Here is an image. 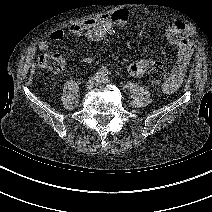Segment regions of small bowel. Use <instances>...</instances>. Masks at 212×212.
Returning a JSON list of instances; mask_svg holds the SVG:
<instances>
[{"label":"small bowel","instance_id":"small-bowel-1","mask_svg":"<svg viewBox=\"0 0 212 212\" xmlns=\"http://www.w3.org/2000/svg\"><path fill=\"white\" fill-rule=\"evenodd\" d=\"M129 18L130 12L125 8H120L111 14H103L72 24L69 27V33L90 40L101 41L106 39L116 27L125 25ZM187 30L188 25L185 22L174 20L169 23L165 31L166 40L174 47L177 53L176 63L171 71L170 79L163 85V90L167 93L175 91L181 84L194 52L193 43L186 36ZM65 36L66 33L63 30H56L49 35V40L56 42ZM48 48V42L41 41L39 43V49L41 51H46ZM81 62L90 65L94 62V58L85 56L81 58ZM154 63L151 59H138L129 65V72L134 77H142Z\"/></svg>","mask_w":212,"mask_h":212}]
</instances>
